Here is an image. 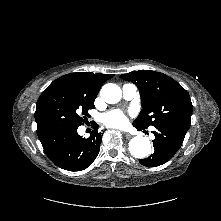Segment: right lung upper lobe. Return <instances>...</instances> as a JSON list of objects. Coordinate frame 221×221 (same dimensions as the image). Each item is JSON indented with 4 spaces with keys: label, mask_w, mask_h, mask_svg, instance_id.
I'll return each mask as SVG.
<instances>
[{
    "label": "right lung upper lobe",
    "mask_w": 221,
    "mask_h": 221,
    "mask_svg": "<svg viewBox=\"0 0 221 221\" xmlns=\"http://www.w3.org/2000/svg\"><path fill=\"white\" fill-rule=\"evenodd\" d=\"M114 75L93 74L86 72L70 73L52 82V84H64L72 87L78 93L94 102L102 84Z\"/></svg>",
    "instance_id": "obj_1"
}]
</instances>
